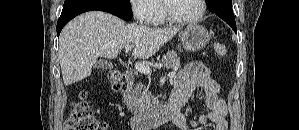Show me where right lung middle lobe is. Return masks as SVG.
Returning <instances> with one entry per match:
<instances>
[{"instance_id": "obj_1", "label": "right lung middle lobe", "mask_w": 299, "mask_h": 130, "mask_svg": "<svg viewBox=\"0 0 299 130\" xmlns=\"http://www.w3.org/2000/svg\"><path fill=\"white\" fill-rule=\"evenodd\" d=\"M115 1L121 3V4L125 5V6L130 7V0H115Z\"/></svg>"}]
</instances>
